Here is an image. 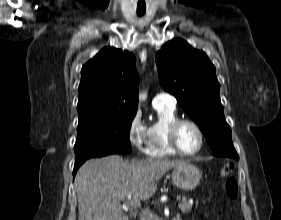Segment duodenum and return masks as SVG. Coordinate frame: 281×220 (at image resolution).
Here are the masks:
<instances>
[{
    "label": "duodenum",
    "mask_w": 281,
    "mask_h": 220,
    "mask_svg": "<svg viewBox=\"0 0 281 220\" xmlns=\"http://www.w3.org/2000/svg\"><path fill=\"white\" fill-rule=\"evenodd\" d=\"M174 220H181V219L176 218V219H174Z\"/></svg>",
    "instance_id": "1"
}]
</instances>
